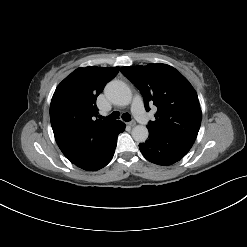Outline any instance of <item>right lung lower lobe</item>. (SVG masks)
I'll return each instance as SVG.
<instances>
[{"label": "right lung lower lobe", "mask_w": 247, "mask_h": 247, "mask_svg": "<svg viewBox=\"0 0 247 247\" xmlns=\"http://www.w3.org/2000/svg\"><path fill=\"white\" fill-rule=\"evenodd\" d=\"M125 130V124L115 121L98 131L88 143L83 155L71 162L81 169L96 171L106 166L113 158L118 135Z\"/></svg>", "instance_id": "98d812e1"}]
</instances>
